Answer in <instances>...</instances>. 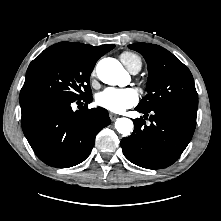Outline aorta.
<instances>
[{"instance_id": "1", "label": "aorta", "mask_w": 221, "mask_h": 221, "mask_svg": "<svg viewBox=\"0 0 221 221\" xmlns=\"http://www.w3.org/2000/svg\"><path fill=\"white\" fill-rule=\"evenodd\" d=\"M96 72L99 79L109 85H119L126 75L122 65L113 58H104L97 64ZM116 130L127 136L133 129V122L128 118H119L115 122Z\"/></svg>"}]
</instances>
